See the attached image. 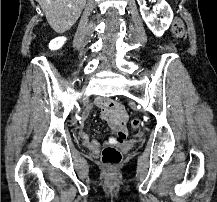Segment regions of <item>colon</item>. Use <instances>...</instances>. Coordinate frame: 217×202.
I'll return each mask as SVG.
<instances>
[{
    "instance_id": "1",
    "label": "colon",
    "mask_w": 217,
    "mask_h": 202,
    "mask_svg": "<svg viewBox=\"0 0 217 202\" xmlns=\"http://www.w3.org/2000/svg\"><path fill=\"white\" fill-rule=\"evenodd\" d=\"M173 33L178 38H184L185 37V25L184 21L180 17H176L173 22L172 27ZM140 125V120L137 118H134L130 122V130L133 135H138L139 131L137 130ZM101 159L105 165H107L110 168H115L117 165H119L122 161V155L118 148L114 146H106L104 147ZM111 176H114L113 170H110Z\"/></svg>"
}]
</instances>
